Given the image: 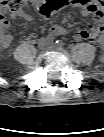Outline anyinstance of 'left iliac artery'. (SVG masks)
Listing matches in <instances>:
<instances>
[{
	"mask_svg": "<svg viewBox=\"0 0 104 137\" xmlns=\"http://www.w3.org/2000/svg\"><path fill=\"white\" fill-rule=\"evenodd\" d=\"M56 44H57L58 46H62V45H63V43H62L61 40H56Z\"/></svg>",
	"mask_w": 104,
	"mask_h": 137,
	"instance_id": "left-iliac-artery-1",
	"label": "left iliac artery"
}]
</instances>
